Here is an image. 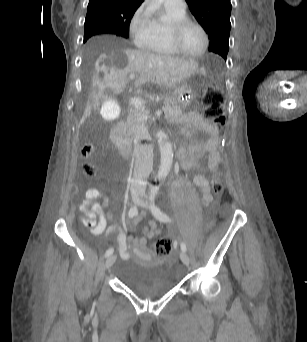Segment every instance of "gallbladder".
<instances>
[{
  "label": "gallbladder",
  "instance_id": "obj_1",
  "mask_svg": "<svg viewBox=\"0 0 307 342\" xmlns=\"http://www.w3.org/2000/svg\"><path fill=\"white\" fill-rule=\"evenodd\" d=\"M120 104L118 99H106L103 108V117L104 118H118L119 117V109Z\"/></svg>",
  "mask_w": 307,
  "mask_h": 342
}]
</instances>
